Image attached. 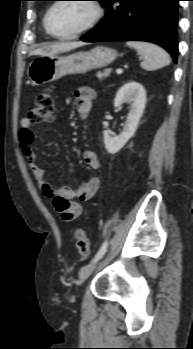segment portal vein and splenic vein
I'll use <instances>...</instances> for the list:
<instances>
[{"instance_id": "obj_1", "label": "portal vein and splenic vein", "mask_w": 193, "mask_h": 349, "mask_svg": "<svg viewBox=\"0 0 193 349\" xmlns=\"http://www.w3.org/2000/svg\"><path fill=\"white\" fill-rule=\"evenodd\" d=\"M122 72H123V70H122L121 68H117V69H116V73H117V74H121Z\"/></svg>"}]
</instances>
